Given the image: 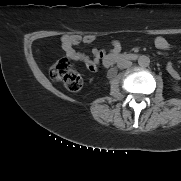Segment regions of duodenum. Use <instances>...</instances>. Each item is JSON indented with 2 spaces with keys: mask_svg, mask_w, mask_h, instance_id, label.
<instances>
[{
  "mask_svg": "<svg viewBox=\"0 0 181 181\" xmlns=\"http://www.w3.org/2000/svg\"><path fill=\"white\" fill-rule=\"evenodd\" d=\"M137 59L136 54H120V55H107L104 58V64L107 67L116 65V64H123L128 61H132Z\"/></svg>",
  "mask_w": 181,
  "mask_h": 181,
  "instance_id": "duodenum-1",
  "label": "duodenum"
}]
</instances>
